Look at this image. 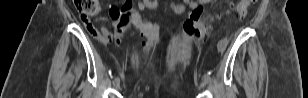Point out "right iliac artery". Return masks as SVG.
Listing matches in <instances>:
<instances>
[{"label": "right iliac artery", "instance_id": "right-iliac-artery-1", "mask_svg": "<svg viewBox=\"0 0 308 98\" xmlns=\"http://www.w3.org/2000/svg\"><path fill=\"white\" fill-rule=\"evenodd\" d=\"M118 80H119V79H118V78H116V79L114 80V83H115V82H117Z\"/></svg>", "mask_w": 308, "mask_h": 98}]
</instances>
